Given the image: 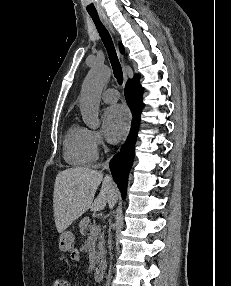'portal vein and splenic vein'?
<instances>
[{
	"mask_svg": "<svg viewBox=\"0 0 231 286\" xmlns=\"http://www.w3.org/2000/svg\"><path fill=\"white\" fill-rule=\"evenodd\" d=\"M95 230H96V226H93V227L91 228V233L94 234ZM90 238H91V237H90Z\"/></svg>",
	"mask_w": 231,
	"mask_h": 286,
	"instance_id": "portal-vein-and-splenic-vein-1",
	"label": "portal vein and splenic vein"
}]
</instances>
